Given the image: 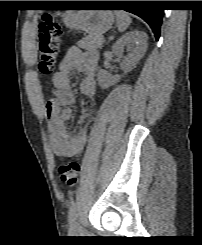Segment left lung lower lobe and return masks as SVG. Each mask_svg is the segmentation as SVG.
I'll return each instance as SVG.
<instances>
[{
	"instance_id": "1",
	"label": "left lung lower lobe",
	"mask_w": 202,
	"mask_h": 245,
	"mask_svg": "<svg viewBox=\"0 0 202 245\" xmlns=\"http://www.w3.org/2000/svg\"><path fill=\"white\" fill-rule=\"evenodd\" d=\"M90 6L124 7L125 11L141 17L151 27L156 40L160 37L163 10L154 8L151 1H86Z\"/></svg>"
}]
</instances>
